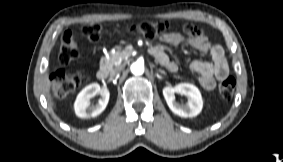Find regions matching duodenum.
<instances>
[{
    "label": "duodenum",
    "instance_id": "1",
    "mask_svg": "<svg viewBox=\"0 0 283 162\" xmlns=\"http://www.w3.org/2000/svg\"><path fill=\"white\" fill-rule=\"evenodd\" d=\"M108 77V70L106 68H101L97 72V78L99 80H105Z\"/></svg>",
    "mask_w": 283,
    "mask_h": 162
}]
</instances>
